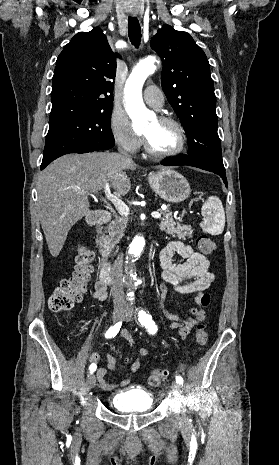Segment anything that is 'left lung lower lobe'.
<instances>
[{"instance_id":"0a47b994","label":"left lung lower lobe","mask_w":279,"mask_h":465,"mask_svg":"<svg viewBox=\"0 0 279 465\" xmlns=\"http://www.w3.org/2000/svg\"><path fill=\"white\" fill-rule=\"evenodd\" d=\"M161 164L162 165H188V166H193V167H197L203 170L213 172L219 175L223 179V182L225 183L227 187V179H226L225 171L220 170L212 166L211 164L203 160H200L198 158L191 157V156H176V157L166 158L162 160Z\"/></svg>"}]
</instances>
